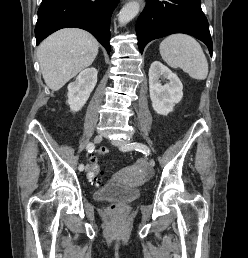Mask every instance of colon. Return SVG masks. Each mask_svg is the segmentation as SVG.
<instances>
[{"label": "colon", "mask_w": 248, "mask_h": 258, "mask_svg": "<svg viewBox=\"0 0 248 258\" xmlns=\"http://www.w3.org/2000/svg\"><path fill=\"white\" fill-rule=\"evenodd\" d=\"M100 148V155L109 154V147L106 144H101ZM94 157L96 158L97 156L95 155ZM87 171L88 174H85V179L91 180L94 184H100L101 179L98 176L97 171H101V163H97V159H88Z\"/></svg>", "instance_id": "colon-1"}]
</instances>
